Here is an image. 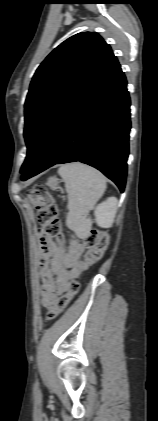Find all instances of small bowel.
Returning <instances> with one entry per match:
<instances>
[{
    "mask_svg": "<svg viewBox=\"0 0 158 421\" xmlns=\"http://www.w3.org/2000/svg\"><path fill=\"white\" fill-rule=\"evenodd\" d=\"M39 266L43 305L50 309L67 292L69 279L77 272L83 245L74 240L68 251L52 237L40 234Z\"/></svg>",
    "mask_w": 158,
    "mask_h": 421,
    "instance_id": "obj_1",
    "label": "small bowel"
}]
</instances>
